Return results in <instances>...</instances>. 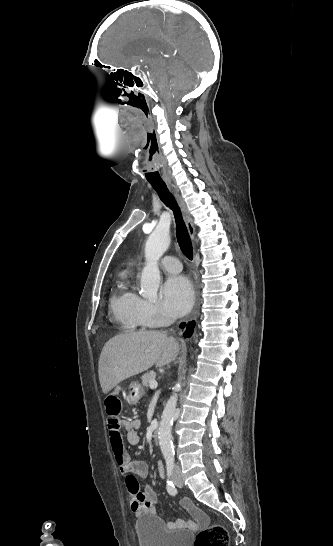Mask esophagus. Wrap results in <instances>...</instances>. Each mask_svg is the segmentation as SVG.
I'll use <instances>...</instances> for the list:
<instances>
[{
  "mask_svg": "<svg viewBox=\"0 0 333 546\" xmlns=\"http://www.w3.org/2000/svg\"><path fill=\"white\" fill-rule=\"evenodd\" d=\"M175 197H176V200H177V202H178V204H179V206L181 208V211H182V214H183V217H184L187 229H188V233L192 238H194L195 229H194V226L192 224V220L190 218L188 210H187L183 200L179 196V194L175 193ZM197 307H198V303L196 302L195 309H194V312H193V317L196 316V314H197Z\"/></svg>",
  "mask_w": 333,
  "mask_h": 546,
  "instance_id": "esophagus-1",
  "label": "esophagus"
}]
</instances>
